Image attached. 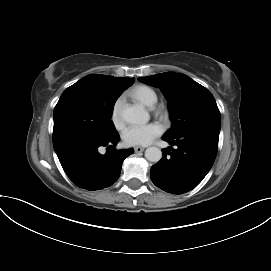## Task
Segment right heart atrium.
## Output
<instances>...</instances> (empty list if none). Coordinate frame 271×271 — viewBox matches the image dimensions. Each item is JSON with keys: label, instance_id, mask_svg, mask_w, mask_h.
<instances>
[{"label": "right heart atrium", "instance_id": "right-heart-atrium-1", "mask_svg": "<svg viewBox=\"0 0 271 271\" xmlns=\"http://www.w3.org/2000/svg\"><path fill=\"white\" fill-rule=\"evenodd\" d=\"M122 106H123V98L119 97L114 102V105L111 111V120L117 128H120L123 125Z\"/></svg>", "mask_w": 271, "mask_h": 271}]
</instances>
